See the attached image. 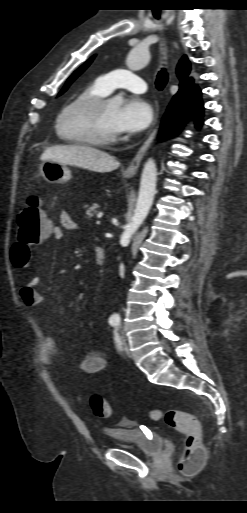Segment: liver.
I'll use <instances>...</instances> for the list:
<instances>
[{"mask_svg":"<svg viewBox=\"0 0 247 513\" xmlns=\"http://www.w3.org/2000/svg\"><path fill=\"white\" fill-rule=\"evenodd\" d=\"M40 160L75 165L93 172H110L120 163L111 155L90 146L62 145L44 150Z\"/></svg>","mask_w":247,"mask_h":513,"instance_id":"obj_1","label":"liver"}]
</instances>
